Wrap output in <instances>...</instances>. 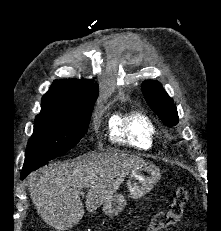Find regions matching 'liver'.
Returning a JSON list of instances; mask_svg holds the SVG:
<instances>
[{"instance_id": "6515ba94", "label": "liver", "mask_w": 221, "mask_h": 231, "mask_svg": "<svg viewBox=\"0 0 221 231\" xmlns=\"http://www.w3.org/2000/svg\"><path fill=\"white\" fill-rule=\"evenodd\" d=\"M143 163L137 156L113 152L55 162L28 177L30 196L45 223L58 231L68 230L84 215L83 189H87V211L93 212L114 195L133 168Z\"/></svg>"}]
</instances>
